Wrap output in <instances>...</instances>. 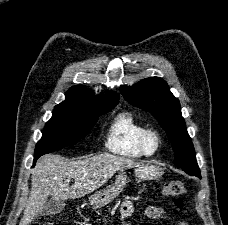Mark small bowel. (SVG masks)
<instances>
[{"label": "small bowel", "mask_w": 228, "mask_h": 225, "mask_svg": "<svg viewBox=\"0 0 228 225\" xmlns=\"http://www.w3.org/2000/svg\"><path fill=\"white\" fill-rule=\"evenodd\" d=\"M134 205L131 201H124L121 206V214L124 218H129L134 214ZM145 215L150 219H162L166 213L163 209L156 206H148L145 210ZM178 225H186L185 223H179Z\"/></svg>", "instance_id": "small-bowel-1"}]
</instances>
